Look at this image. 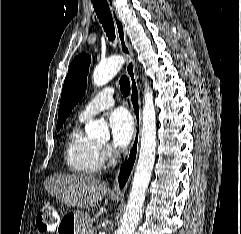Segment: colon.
<instances>
[{
  "instance_id": "5ec220e1",
  "label": "colon",
  "mask_w": 241,
  "mask_h": 234,
  "mask_svg": "<svg viewBox=\"0 0 241 234\" xmlns=\"http://www.w3.org/2000/svg\"><path fill=\"white\" fill-rule=\"evenodd\" d=\"M36 224L41 233L54 231L58 227L59 219L50 203H46L41 208L36 218Z\"/></svg>"
}]
</instances>
